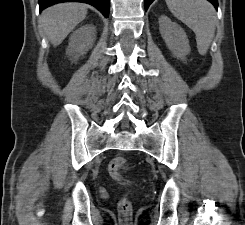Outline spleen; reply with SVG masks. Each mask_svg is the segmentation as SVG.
Instances as JSON below:
<instances>
[{
	"instance_id": "1",
	"label": "spleen",
	"mask_w": 245,
	"mask_h": 225,
	"mask_svg": "<svg viewBox=\"0 0 245 225\" xmlns=\"http://www.w3.org/2000/svg\"><path fill=\"white\" fill-rule=\"evenodd\" d=\"M171 13L196 34L199 54L205 55L214 37L216 12L207 0H165Z\"/></svg>"
}]
</instances>
